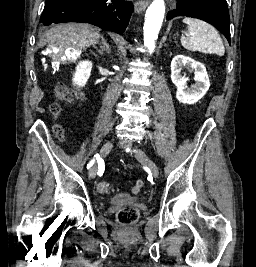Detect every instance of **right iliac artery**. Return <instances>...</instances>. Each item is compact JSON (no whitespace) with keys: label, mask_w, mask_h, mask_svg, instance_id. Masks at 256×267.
Segmentation results:
<instances>
[{"label":"right iliac artery","mask_w":256,"mask_h":267,"mask_svg":"<svg viewBox=\"0 0 256 267\" xmlns=\"http://www.w3.org/2000/svg\"><path fill=\"white\" fill-rule=\"evenodd\" d=\"M96 159L100 158L98 154L94 156ZM94 164V159L90 161V163L87 165V168L89 169Z\"/></svg>","instance_id":"1"}]
</instances>
